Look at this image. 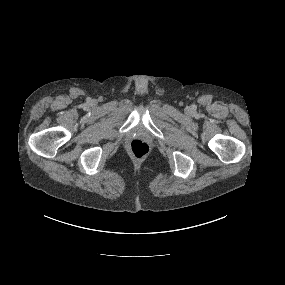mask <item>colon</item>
I'll use <instances>...</instances> for the list:
<instances>
[{
	"label": "colon",
	"instance_id": "1",
	"mask_svg": "<svg viewBox=\"0 0 285 285\" xmlns=\"http://www.w3.org/2000/svg\"><path fill=\"white\" fill-rule=\"evenodd\" d=\"M130 151L133 156L143 158L149 153V146L142 140H133L130 144Z\"/></svg>",
	"mask_w": 285,
	"mask_h": 285
}]
</instances>
